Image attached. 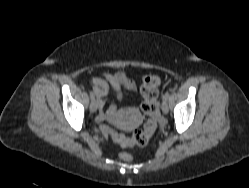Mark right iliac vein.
I'll use <instances>...</instances> for the list:
<instances>
[{"instance_id": "obj_1", "label": "right iliac vein", "mask_w": 249, "mask_h": 188, "mask_svg": "<svg viewBox=\"0 0 249 188\" xmlns=\"http://www.w3.org/2000/svg\"><path fill=\"white\" fill-rule=\"evenodd\" d=\"M89 108H90L91 113L96 112V110H97V100L95 98L91 99Z\"/></svg>"}]
</instances>
